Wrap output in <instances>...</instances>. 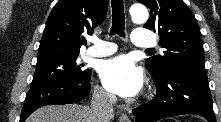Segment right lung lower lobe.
I'll list each match as a JSON object with an SVG mask.
<instances>
[{
    "mask_svg": "<svg viewBox=\"0 0 221 122\" xmlns=\"http://www.w3.org/2000/svg\"><path fill=\"white\" fill-rule=\"evenodd\" d=\"M90 79L91 73L79 81L66 80L31 86L24 101L20 122H24L39 107L81 101L90 92Z\"/></svg>",
    "mask_w": 221,
    "mask_h": 122,
    "instance_id": "98d812e1",
    "label": "right lung lower lobe"
}]
</instances>
